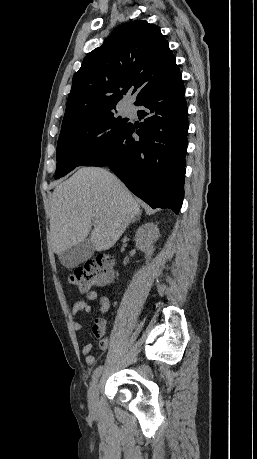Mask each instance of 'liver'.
<instances>
[{"mask_svg":"<svg viewBox=\"0 0 257 459\" xmlns=\"http://www.w3.org/2000/svg\"><path fill=\"white\" fill-rule=\"evenodd\" d=\"M140 214V206L114 174L99 167H82L53 191V250L60 255L88 235L96 251L107 250Z\"/></svg>","mask_w":257,"mask_h":459,"instance_id":"6515ba94","label":"liver"}]
</instances>
